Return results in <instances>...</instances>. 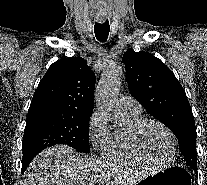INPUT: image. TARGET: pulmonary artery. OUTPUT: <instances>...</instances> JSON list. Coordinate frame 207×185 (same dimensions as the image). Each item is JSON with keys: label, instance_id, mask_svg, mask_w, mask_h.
Masks as SVG:
<instances>
[{"label": "pulmonary artery", "instance_id": "e3ab8cb5", "mask_svg": "<svg viewBox=\"0 0 207 185\" xmlns=\"http://www.w3.org/2000/svg\"><path fill=\"white\" fill-rule=\"evenodd\" d=\"M120 107L124 112L130 113H140V104L132 97L121 96L120 97Z\"/></svg>", "mask_w": 207, "mask_h": 185}]
</instances>
